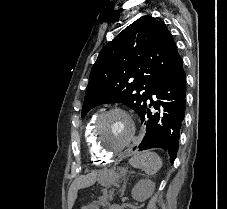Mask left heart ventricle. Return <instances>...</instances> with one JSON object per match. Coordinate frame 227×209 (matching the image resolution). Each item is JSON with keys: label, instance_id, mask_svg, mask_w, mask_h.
<instances>
[{"label": "left heart ventricle", "instance_id": "1", "mask_svg": "<svg viewBox=\"0 0 227 209\" xmlns=\"http://www.w3.org/2000/svg\"><path fill=\"white\" fill-rule=\"evenodd\" d=\"M131 134L128 120L121 114L108 116L100 129V140L107 149H114L125 143Z\"/></svg>", "mask_w": 227, "mask_h": 209}]
</instances>
